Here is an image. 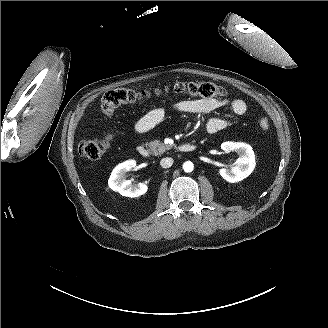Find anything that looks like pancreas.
<instances>
[{
  "label": "pancreas",
  "instance_id": "cf45deb5",
  "mask_svg": "<svg viewBox=\"0 0 328 328\" xmlns=\"http://www.w3.org/2000/svg\"><path fill=\"white\" fill-rule=\"evenodd\" d=\"M148 146L150 147L151 151L155 154H162L166 150H170L173 146L172 145H165L161 141L154 140L148 143Z\"/></svg>",
  "mask_w": 328,
  "mask_h": 328
}]
</instances>
